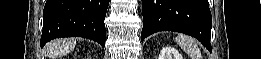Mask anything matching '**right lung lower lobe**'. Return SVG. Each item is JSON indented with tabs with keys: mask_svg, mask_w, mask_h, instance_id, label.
<instances>
[{
	"mask_svg": "<svg viewBox=\"0 0 261 59\" xmlns=\"http://www.w3.org/2000/svg\"><path fill=\"white\" fill-rule=\"evenodd\" d=\"M109 0H47L41 47L59 37H84L105 46L104 19Z\"/></svg>",
	"mask_w": 261,
	"mask_h": 59,
	"instance_id": "right-lung-lower-lobe-1",
	"label": "right lung lower lobe"
}]
</instances>
